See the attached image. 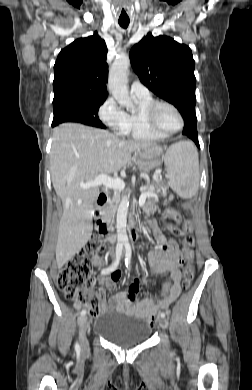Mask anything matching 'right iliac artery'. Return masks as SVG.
<instances>
[{
	"mask_svg": "<svg viewBox=\"0 0 252 390\" xmlns=\"http://www.w3.org/2000/svg\"><path fill=\"white\" fill-rule=\"evenodd\" d=\"M122 251H123V245L122 244L117 245L115 261L109 267L103 269L102 272H101L102 274H109V273L113 272L114 270H116V268L119 265V261L121 259V256H122ZM85 314H86V311L82 310L81 311V316H84ZM75 350L76 351L80 350V346H79L78 343L75 344Z\"/></svg>",
	"mask_w": 252,
	"mask_h": 390,
	"instance_id": "right-iliac-artery-1",
	"label": "right iliac artery"
}]
</instances>
